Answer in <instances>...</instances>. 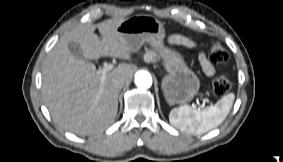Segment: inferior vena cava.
<instances>
[{"mask_svg": "<svg viewBox=\"0 0 283 162\" xmlns=\"http://www.w3.org/2000/svg\"><path fill=\"white\" fill-rule=\"evenodd\" d=\"M115 84L118 86V87H123L125 85V79L124 78H118L116 79L115 81Z\"/></svg>", "mask_w": 283, "mask_h": 162, "instance_id": "602c4592", "label": "inferior vena cava"}]
</instances>
